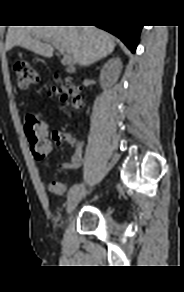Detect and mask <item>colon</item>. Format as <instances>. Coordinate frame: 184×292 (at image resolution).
<instances>
[{"label": "colon", "instance_id": "obj_1", "mask_svg": "<svg viewBox=\"0 0 184 292\" xmlns=\"http://www.w3.org/2000/svg\"><path fill=\"white\" fill-rule=\"evenodd\" d=\"M13 71L18 85L21 88H27L38 80V75L32 64L22 58L13 62ZM54 93L60 98L64 105H71L75 109L82 106V100L79 96V88L71 81H65L54 88ZM25 132L31 144L33 156L37 160H43L50 151L49 131L47 124L37 114H28L25 120ZM49 190L59 194L61 183L52 182L49 184Z\"/></svg>", "mask_w": 184, "mask_h": 292}]
</instances>
